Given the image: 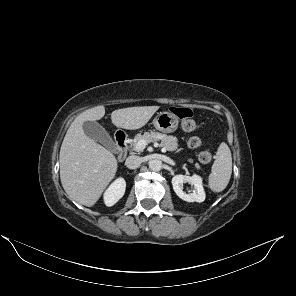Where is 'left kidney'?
Returning a JSON list of instances; mask_svg holds the SVG:
<instances>
[{
  "label": "left kidney",
  "mask_w": 296,
  "mask_h": 296,
  "mask_svg": "<svg viewBox=\"0 0 296 296\" xmlns=\"http://www.w3.org/2000/svg\"><path fill=\"white\" fill-rule=\"evenodd\" d=\"M184 183H189L194 186V191L192 193L184 192ZM172 185L177 196L184 201L201 203L205 200V191L202 184V178L199 175H176L172 178Z\"/></svg>",
  "instance_id": "obj_1"
}]
</instances>
